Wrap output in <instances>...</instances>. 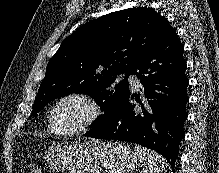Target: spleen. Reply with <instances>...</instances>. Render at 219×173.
Segmentation results:
<instances>
[{"instance_id": "spleen-1", "label": "spleen", "mask_w": 219, "mask_h": 173, "mask_svg": "<svg viewBox=\"0 0 219 173\" xmlns=\"http://www.w3.org/2000/svg\"><path fill=\"white\" fill-rule=\"evenodd\" d=\"M134 152L142 165V173H162L165 167V159L156 152L136 145Z\"/></svg>"}]
</instances>
